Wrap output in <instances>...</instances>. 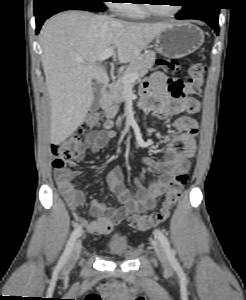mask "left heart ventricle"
Wrapping results in <instances>:
<instances>
[{
  "mask_svg": "<svg viewBox=\"0 0 246 300\" xmlns=\"http://www.w3.org/2000/svg\"><path fill=\"white\" fill-rule=\"evenodd\" d=\"M160 4H153L154 8L161 12V13H170L172 12L175 8H176V5H175V1H169V0H158L156 1ZM164 3H166L165 5H163ZM169 4V5H167Z\"/></svg>",
  "mask_w": 246,
  "mask_h": 300,
  "instance_id": "1",
  "label": "left heart ventricle"
}]
</instances>
